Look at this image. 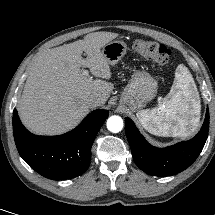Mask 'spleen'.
<instances>
[{"label": "spleen", "instance_id": "3e777b00", "mask_svg": "<svg viewBox=\"0 0 215 215\" xmlns=\"http://www.w3.org/2000/svg\"><path fill=\"white\" fill-rule=\"evenodd\" d=\"M136 115L143 128L153 135L191 136L199 125L200 101L189 70L179 65L167 97L154 108L141 110Z\"/></svg>", "mask_w": 215, "mask_h": 215}]
</instances>
